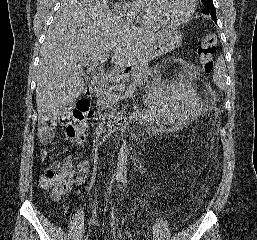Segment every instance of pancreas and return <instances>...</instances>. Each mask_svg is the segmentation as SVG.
<instances>
[{"mask_svg":"<svg viewBox=\"0 0 257 240\" xmlns=\"http://www.w3.org/2000/svg\"><path fill=\"white\" fill-rule=\"evenodd\" d=\"M152 72V68H150L148 65H144L141 68H138L133 74H132V83L131 86L135 89L136 87L142 86L147 79L149 78V75ZM114 95H117L113 92V88H108L105 86H101L100 89L96 92L97 97V105L101 109H107L110 108L113 103H115L117 100L114 98Z\"/></svg>","mask_w":257,"mask_h":240,"instance_id":"pancreas-1","label":"pancreas"}]
</instances>
